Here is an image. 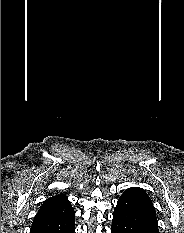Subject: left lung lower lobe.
<instances>
[{
  "label": "left lung lower lobe",
  "mask_w": 184,
  "mask_h": 233,
  "mask_svg": "<svg viewBox=\"0 0 184 233\" xmlns=\"http://www.w3.org/2000/svg\"><path fill=\"white\" fill-rule=\"evenodd\" d=\"M111 233H159L152 202L139 192L126 190L113 212Z\"/></svg>",
  "instance_id": "0a47b994"
}]
</instances>
